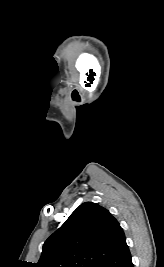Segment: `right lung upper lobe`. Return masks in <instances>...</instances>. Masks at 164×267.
Returning <instances> with one entry per match:
<instances>
[{"mask_svg":"<svg viewBox=\"0 0 164 267\" xmlns=\"http://www.w3.org/2000/svg\"><path fill=\"white\" fill-rule=\"evenodd\" d=\"M125 245L124 232L110 212L85 202L45 241L36 267H99Z\"/></svg>","mask_w":164,"mask_h":267,"instance_id":"1","label":"right lung upper lobe"}]
</instances>
